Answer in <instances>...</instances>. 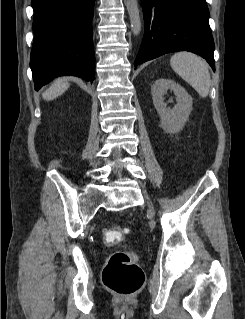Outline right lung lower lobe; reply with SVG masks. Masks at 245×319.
Here are the masks:
<instances>
[{"label": "right lung lower lobe", "mask_w": 245, "mask_h": 319, "mask_svg": "<svg viewBox=\"0 0 245 319\" xmlns=\"http://www.w3.org/2000/svg\"><path fill=\"white\" fill-rule=\"evenodd\" d=\"M94 2L32 0L34 41L30 67L36 90L62 75L94 80Z\"/></svg>", "instance_id": "obj_1"}]
</instances>
